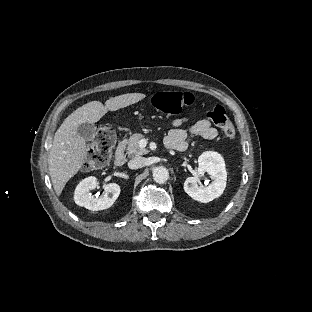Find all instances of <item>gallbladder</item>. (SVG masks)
I'll return each instance as SVG.
<instances>
[{"mask_svg": "<svg viewBox=\"0 0 312 312\" xmlns=\"http://www.w3.org/2000/svg\"><path fill=\"white\" fill-rule=\"evenodd\" d=\"M77 133L85 141H91L95 137L96 126L88 122L82 123L78 126Z\"/></svg>", "mask_w": 312, "mask_h": 312, "instance_id": "gallbladder-1", "label": "gallbladder"}]
</instances>
